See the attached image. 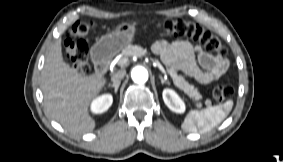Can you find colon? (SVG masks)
Here are the masks:
<instances>
[{
  "label": "colon",
  "mask_w": 283,
  "mask_h": 162,
  "mask_svg": "<svg viewBox=\"0 0 283 162\" xmlns=\"http://www.w3.org/2000/svg\"><path fill=\"white\" fill-rule=\"evenodd\" d=\"M94 28L92 22L79 21L73 25L64 43L65 59L79 73L85 74L89 70L88 46L85 37ZM157 30L164 35L173 37H187L199 42L209 51L224 56L227 52L221 41L209 30L202 26L182 19H167L157 24ZM234 93L228 83H218L213 87L212 96L216 102L229 99Z\"/></svg>",
  "instance_id": "1"
}]
</instances>
